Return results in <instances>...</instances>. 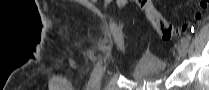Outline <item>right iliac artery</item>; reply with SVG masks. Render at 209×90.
<instances>
[{"label": "right iliac artery", "mask_w": 209, "mask_h": 90, "mask_svg": "<svg viewBox=\"0 0 209 90\" xmlns=\"http://www.w3.org/2000/svg\"><path fill=\"white\" fill-rule=\"evenodd\" d=\"M98 72H99V64L95 66L92 74H91V77H90V80H89V83H88V90H92L93 87H94V84L97 80V77H98Z\"/></svg>", "instance_id": "right-iliac-artery-1"}]
</instances>
